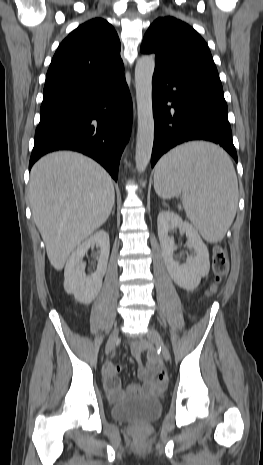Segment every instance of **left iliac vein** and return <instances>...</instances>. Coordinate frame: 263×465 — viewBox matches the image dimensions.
<instances>
[{
	"mask_svg": "<svg viewBox=\"0 0 263 465\" xmlns=\"http://www.w3.org/2000/svg\"><path fill=\"white\" fill-rule=\"evenodd\" d=\"M147 338L149 341H151L152 343H155L160 348L163 358L166 361H169L170 352L167 346L165 345L160 333L154 328H149L147 332Z\"/></svg>",
	"mask_w": 263,
	"mask_h": 465,
	"instance_id": "1",
	"label": "left iliac vein"
}]
</instances>
